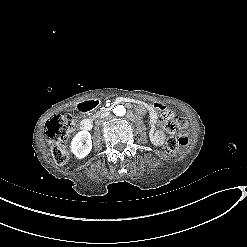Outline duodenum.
<instances>
[{
	"label": "duodenum",
	"mask_w": 247,
	"mask_h": 247,
	"mask_svg": "<svg viewBox=\"0 0 247 247\" xmlns=\"http://www.w3.org/2000/svg\"><path fill=\"white\" fill-rule=\"evenodd\" d=\"M127 103L133 104V103H137V101L131 98H127V97H119L112 103V105L107 110L112 109L114 106L118 104H127ZM97 106H98L97 100H87V101L80 103L77 106V109L78 111L82 113H86V112H89L95 109ZM92 126H93V122L91 119H84L80 124V128L86 131L91 130Z\"/></svg>",
	"instance_id": "duodenum-1"
}]
</instances>
